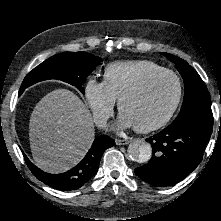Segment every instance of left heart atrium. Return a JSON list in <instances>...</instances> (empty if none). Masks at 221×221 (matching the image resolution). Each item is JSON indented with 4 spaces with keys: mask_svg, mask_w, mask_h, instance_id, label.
<instances>
[{
    "mask_svg": "<svg viewBox=\"0 0 221 221\" xmlns=\"http://www.w3.org/2000/svg\"><path fill=\"white\" fill-rule=\"evenodd\" d=\"M119 123L124 128H129V127L134 126L131 120L127 116H125L123 113H121L120 115Z\"/></svg>",
    "mask_w": 221,
    "mask_h": 221,
    "instance_id": "obj_1",
    "label": "left heart atrium"
}]
</instances>
